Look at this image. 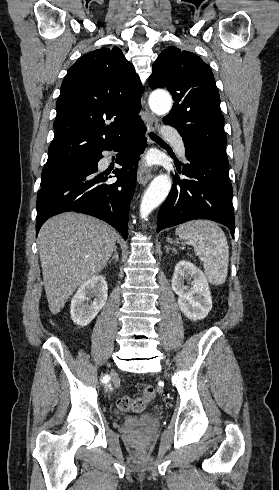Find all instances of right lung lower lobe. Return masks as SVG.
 <instances>
[{
	"mask_svg": "<svg viewBox=\"0 0 279 490\" xmlns=\"http://www.w3.org/2000/svg\"><path fill=\"white\" fill-rule=\"evenodd\" d=\"M145 130V126L136 127L110 142L86 159L87 169L41 183L36 204V235L51 216L74 211L104 220L126 240L129 207L136 184L137 160L147 146ZM103 150L119 151L116 162L123 168L113 171L118 178L114 183H105L108 177L104 174L96 175Z\"/></svg>",
	"mask_w": 279,
	"mask_h": 490,
	"instance_id": "1",
	"label": "right lung lower lobe"
}]
</instances>
